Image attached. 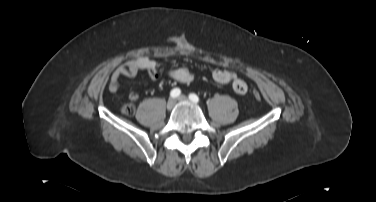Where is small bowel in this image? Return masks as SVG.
I'll return each instance as SVG.
<instances>
[{
	"label": "small bowel",
	"mask_w": 376,
	"mask_h": 202,
	"mask_svg": "<svg viewBox=\"0 0 376 202\" xmlns=\"http://www.w3.org/2000/svg\"><path fill=\"white\" fill-rule=\"evenodd\" d=\"M145 71L148 76L155 80L158 78L160 71L154 60L146 56H140L130 59L119 65L112 73L108 89L111 93H116L120 87V79L123 77L131 78L137 73ZM164 74L180 83H190L194 79V74L186 67H172L167 69ZM212 79L219 84H228L233 82L232 89L238 95H244L247 92V84L234 71L226 69H215L212 72ZM128 99L135 102L138 99L136 92H130Z\"/></svg>",
	"instance_id": "c3829d8e"
}]
</instances>
